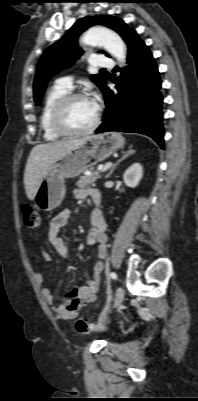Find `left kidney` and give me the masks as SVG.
Segmentation results:
<instances>
[{"instance_id": "1", "label": "left kidney", "mask_w": 198, "mask_h": 401, "mask_svg": "<svg viewBox=\"0 0 198 401\" xmlns=\"http://www.w3.org/2000/svg\"><path fill=\"white\" fill-rule=\"evenodd\" d=\"M143 176V167L139 163H134L130 166L123 175L124 183L130 187L135 188Z\"/></svg>"}]
</instances>
